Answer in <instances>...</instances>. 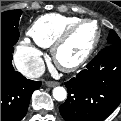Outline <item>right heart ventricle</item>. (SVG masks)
Instances as JSON below:
<instances>
[{
    "instance_id": "right-heart-ventricle-1",
    "label": "right heart ventricle",
    "mask_w": 121,
    "mask_h": 121,
    "mask_svg": "<svg viewBox=\"0 0 121 121\" xmlns=\"http://www.w3.org/2000/svg\"><path fill=\"white\" fill-rule=\"evenodd\" d=\"M78 20H80L78 17L56 13L42 15L32 23L29 35L34 43L48 48L66 28Z\"/></svg>"
}]
</instances>
